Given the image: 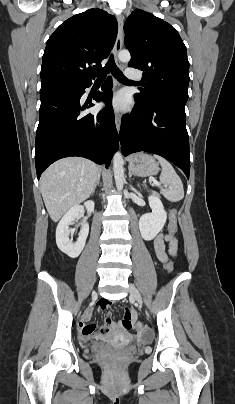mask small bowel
I'll list each match as a JSON object with an SVG mask.
<instances>
[{"mask_svg":"<svg viewBox=\"0 0 235 404\" xmlns=\"http://www.w3.org/2000/svg\"><path fill=\"white\" fill-rule=\"evenodd\" d=\"M154 252L162 263H166L169 258L176 256L177 242L175 239H171L167 234H158L154 240ZM107 305L108 302L103 300L96 305V308L104 310ZM92 312V309L87 310L79 323V329L84 341L110 339L119 333L120 326L112 322L110 312H106L105 324L100 327L98 332H95V325L87 323Z\"/></svg>","mask_w":235,"mask_h":404,"instance_id":"obj_1","label":"small bowel"}]
</instances>
